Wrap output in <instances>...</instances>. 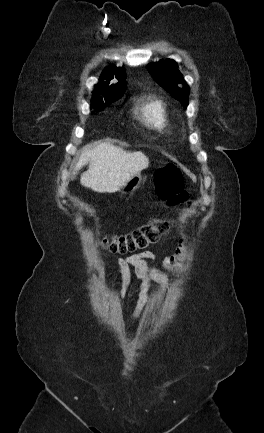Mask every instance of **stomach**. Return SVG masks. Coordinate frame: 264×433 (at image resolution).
Returning <instances> with one entry per match:
<instances>
[{"instance_id":"obj_1","label":"stomach","mask_w":264,"mask_h":433,"mask_svg":"<svg viewBox=\"0 0 264 433\" xmlns=\"http://www.w3.org/2000/svg\"><path fill=\"white\" fill-rule=\"evenodd\" d=\"M142 176L140 173L133 175L129 180L125 182V184L120 188L122 193H130L138 188L141 183Z\"/></svg>"}]
</instances>
